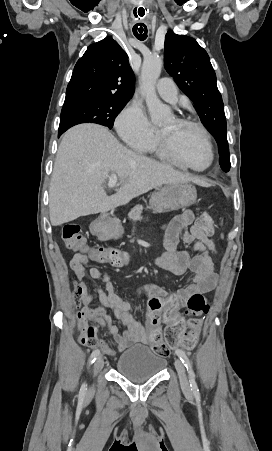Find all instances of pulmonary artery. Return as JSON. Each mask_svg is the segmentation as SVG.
Masks as SVG:
<instances>
[{
    "label": "pulmonary artery",
    "instance_id": "1",
    "mask_svg": "<svg viewBox=\"0 0 272 451\" xmlns=\"http://www.w3.org/2000/svg\"><path fill=\"white\" fill-rule=\"evenodd\" d=\"M160 97L168 102L176 103L178 100V89L172 79H160L156 85Z\"/></svg>",
    "mask_w": 272,
    "mask_h": 451
}]
</instances>
